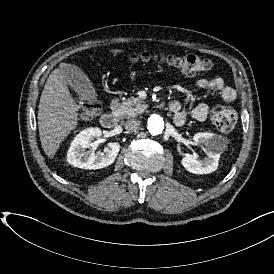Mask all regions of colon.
<instances>
[{
	"label": "colon",
	"mask_w": 274,
	"mask_h": 274,
	"mask_svg": "<svg viewBox=\"0 0 274 274\" xmlns=\"http://www.w3.org/2000/svg\"><path fill=\"white\" fill-rule=\"evenodd\" d=\"M126 61L130 64H162L173 67L184 74H198L211 69V61L197 54L166 53L150 50H141L128 55ZM88 93L80 94L76 98L81 104L82 113L86 116L97 112L98 105L94 100L89 99ZM212 123L223 132H230L237 123V113L229 105H222L212 112Z\"/></svg>",
	"instance_id": "colon-1"
}]
</instances>
